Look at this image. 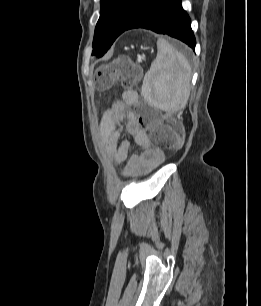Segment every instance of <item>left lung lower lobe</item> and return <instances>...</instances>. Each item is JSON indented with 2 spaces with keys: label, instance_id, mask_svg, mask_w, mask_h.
<instances>
[{
  "label": "left lung lower lobe",
  "instance_id": "left-lung-lower-lobe-1",
  "mask_svg": "<svg viewBox=\"0 0 261 306\" xmlns=\"http://www.w3.org/2000/svg\"><path fill=\"white\" fill-rule=\"evenodd\" d=\"M133 28L167 34L195 49L191 20L183 10L181 0H145L124 31Z\"/></svg>",
  "mask_w": 261,
  "mask_h": 306
}]
</instances>
